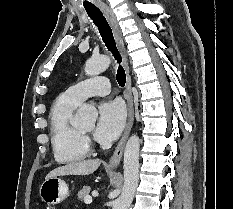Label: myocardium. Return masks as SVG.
Returning a JSON list of instances; mask_svg holds the SVG:
<instances>
[{"label":"myocardium","mask_w":233,"mask_h":209,"mask_svg":"<svg viewBox=\"0 0 233 209\" xmlns=\"http://www.w3.org/2000/svg\"><path fill=\"white\" fill-rule=\"evenodd\" d=\"M81 132V134H82V136H83V138H84V140H85V143H86V145H87V138H88V135L86 134V133H84V132H82V131H80ZM88 147V146H87Z\"/></svg>","instance_id":"f54148a6"}]
</instances>
